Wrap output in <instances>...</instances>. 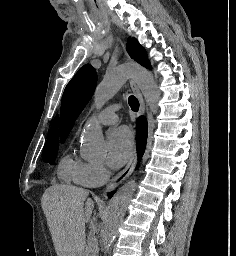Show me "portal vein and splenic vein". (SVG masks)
I'll return each instance as SVG.
<instances>
[{"label":"portal vein and splenic vein","mask_w":236,"mask_h":256,"mask_svg":"<svg viewBox=\"0 0 236 256\" xmlns=\"http://www.w3.org/2000/svg\"><path fill=\"white\" fill-rule=\"evenodd\" d=\"M92 228H96V224H91Z\"/></svg>","instance_id":"portal-vein-and-splenic-vein-1"}]
</instances>
